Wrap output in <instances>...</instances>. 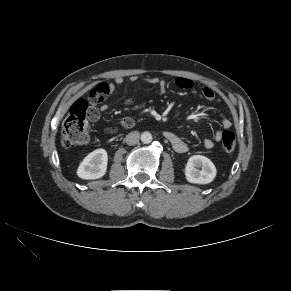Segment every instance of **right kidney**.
I'll return each instance as SVG.
<instances>
[{"label": "right kidney", "instance_id": "ca27d5eb", "mask_svg": "<svg viewBox=\"0 0 291 291\" xmlns=\"http://www.w3.org/2000/svg\"><path fill=\"white\" fill-rule=\"evenodd\" d=\"M108 155L106 150L97 149L88 154L77 169L81 179H98L105 175L107 170Z\"/></svg>", "mask_w": 291, "mask_h": 291}]
</instances>
